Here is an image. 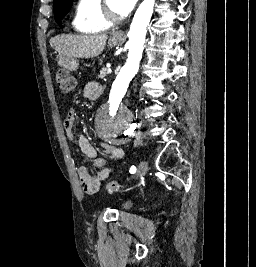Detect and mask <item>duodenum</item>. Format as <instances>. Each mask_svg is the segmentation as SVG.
<instances>
[{
    "label": "duodenum",
    "mask_w": 256,
    "mask_h": 267,
    "mask_svg": "<svg viewBox=\"0 0 256 267\" xmlns=\"http://www.w3.org/2000/svg\"><path fill=\"white\" fill-rule=\"evenodd\" d=\"M64 71H74V66H64ZM99 86H102V83H99Z\"/></svg>",
    "instance_id": "410a0bca"
}]
</instances>
